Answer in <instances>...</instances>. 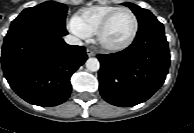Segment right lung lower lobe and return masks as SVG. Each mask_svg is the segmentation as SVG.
<instances>
[{
    "instance_id": "right-lung-lower-lobe-1",
    "label": "right lung lower lobe",
    "mask_w": 194,
    "mask_h": 133,
    "mask_svg": "<svg viewBox=\"0 0 194 133\" xmlns=\"http://www.w3.org/2000/svg\"><path fill=\"white\" fill-rule=\"evenodd\" d=\"M65 25L26 23L10 28L2 68L11 88L30 104L52 107L71 93L70 77L86 61L85 47L68 45Z\"/></svg>"
}]
</instances>
